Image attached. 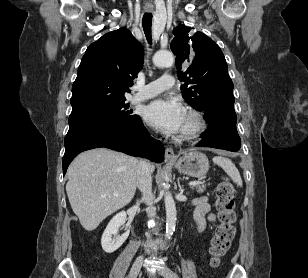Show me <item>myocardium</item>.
Instances as JSON below:
<instances>
[{"label": "myocardium", "mask_w": 308, "mask_h": 278, "mask_svg": "<svg viewBox=\"0 0 308 278\" xmlns=\"http://www.w3.org/2000/svg\"><path fill=\"white\" fill-rule=\"evenodd\" d=\"M186 114L191 120V125L179 134L182 140H190L200 136L206 128V121L203 114L194 108H188Z\"/></svg>", "instance_id": "1"}]
</instances>
